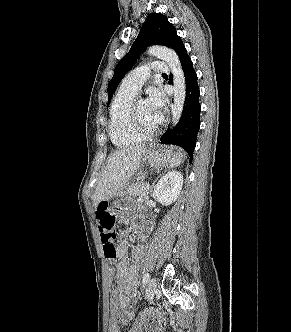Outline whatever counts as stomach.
I'll list each match as a JSON object with an SVG mask.
<instances>
[{
  "label": "stomach",
  "instance_id": "0dacf381",
  "mask_svg": "<svg viewBox=\"0 0 291 332\" xmlns=\"http://www.w3.org/2000/svg\"><path fill=\"white\" fill-rule=\"evenodd\" d=\"M172 148L162 149L158 144L152 143L143 152V162L151 167L157 168L170 162V160L177 155ZM117 200L114 202L115 211L121 212L126 206L130 204V200L125 197V191L120 190L116 194Z\"/></svg>",
  "mask_w": 291,
  "mask_h": 332
}]
</instances>
